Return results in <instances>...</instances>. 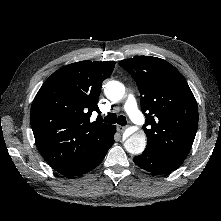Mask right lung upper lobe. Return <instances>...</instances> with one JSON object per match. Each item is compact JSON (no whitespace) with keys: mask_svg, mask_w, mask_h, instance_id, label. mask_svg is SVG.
I'll use <instances>...</instances> for the list:
<instances>
[{"mask_svg":"<svg viewBox=\"0 0 221 221\" xmlns=\"http://www.w3.org/2000/svg\"><path fill=\"white\" fill-rule=\"evenodd\" d=\"M114 67V61L72 63L54 72L35 96L30 121L36 146L56 171L82 163L106 146L113 125L89 118Z\"/></svg>","mask_w":221,"mask_h":221,"instance_id":"right-lung-upper-lobe-1","label":"right lung upper lobe"}]
</instances>
